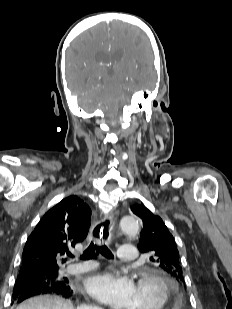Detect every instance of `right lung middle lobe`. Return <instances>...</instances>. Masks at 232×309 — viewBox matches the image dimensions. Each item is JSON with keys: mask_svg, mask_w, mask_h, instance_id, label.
<instances>
[{"mask_svg": "<svg viewBox=\"0 0 232 309\" xmlns=\"http://www.w3.org/2000/svg\"><path fill=\"white\" fill-rule=\"evenodd\" d=\"M19 279L23 280H32L36 284H42L47 286H55L59 284H63L64 282H67V279L60 278L58 276V270H52L48 272H42V273H19L18 277Z\"/></svg>", "mask_w": 232, "mask_h": 309, "instance_id": "right-lung-middle-lobe-1", "label": "right lung middle lobe"}]
</instances>
